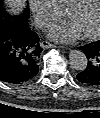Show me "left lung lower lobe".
<instances>
[{"label": "left lung lower lobe", "instance_id": "obj_1", "mask_svg": "<svg viewBox=\"0 0 100 118\" xmlns=\"http://www.w3.org/2000/svg\"><path fill=\"white\" fill-rule=\"evenodd\" d=\"M88 60L87 67L77 74L79 82L88 86H100V39L96 42L81 46Z\"/></svg>", "mask_w": 100, "mask_h": 118}]
</instances>
